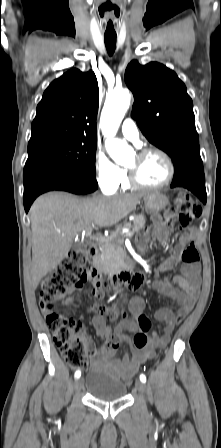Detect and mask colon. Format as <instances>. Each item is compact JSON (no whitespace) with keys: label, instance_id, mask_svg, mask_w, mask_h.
Segmentation results:
<instances>
[{"label":"colon","instance_id":"1","mask_svg":"<svg viewBox=\"0 0 221 448\" xmlns=\"http://www.w3.org/2000/svg\"><path fill=\"white\" fill-rule=\"evenodd\" d=\"M179 220L183 226L188 225L200 214L198 206L187 193H180L176 200ZM182 261L196 264L199 253L195 244H189L181 254ZM97 272L89 266V250L86 248L73 250L68 257L43 278L40 289V306L46 314V320L53 333L57 349L64 360L74 369L85 372L88 368L87 351L91 340L85 335L81 321L60 315L56 312L55 301L64 298L73 290L97 279ZM140 330L134 336L136 348H143L148 342L150 321L145 315L138 318ZM131 383L130 379L126 384Z\"/></svg>","mask_w":221,"mask_h":448}]
</instances>
